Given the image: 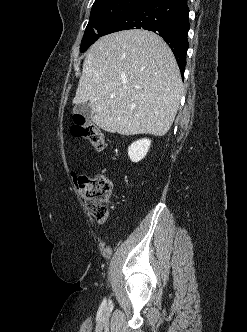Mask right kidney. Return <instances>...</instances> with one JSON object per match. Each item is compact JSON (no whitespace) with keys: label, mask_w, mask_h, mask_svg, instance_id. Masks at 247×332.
<instances>
[{"label":"right kidney","mask_w":247,"mask_h":332,"mask_svg":"<svg viewBox=\"0 0 247 332\" xmlns=\"http://www.w3.org/2000/svg\"><path fill=\"white\" fill-rule=\"evenodd\" d=\"M150 145H151V140L146 138L133 142L128 147V156L130 160L135 163L142 160L146 156L150 148Z\"/></svg>","instance_id":"obj_1"}]
</instances>
